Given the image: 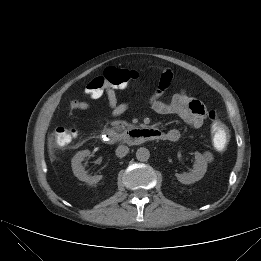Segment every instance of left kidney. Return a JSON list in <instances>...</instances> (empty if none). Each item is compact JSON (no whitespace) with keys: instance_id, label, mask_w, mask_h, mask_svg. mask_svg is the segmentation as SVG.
Here are the masks:
<instances>
[{"instance_id":"1","label":"left kidney","mask_w":261,"mask_h":261,"mask_svg":"<svg viewBox=\"0 0 261 261\" xmlns=\"http://www.w3.org/2000/svg\"><path fill=\"white\" fill-rule=\"evenodd\" d=\"M194 154L196 164L194 165L193 170L189 173L175 174L178 181L182 184L189 185L195 183L196 181H199L201 178H203L207 171V161L205 157L199 152H195Z\"/></svg>"}]
</instances>
